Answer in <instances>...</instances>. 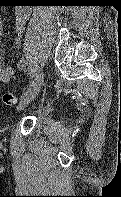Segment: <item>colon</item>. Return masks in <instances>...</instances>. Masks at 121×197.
<instances>
[{"label":"colon","mask_w":121,"mask_h":197,"mask_svg":"<svg viewBox=\"0 0 121 197\" xmlns=\"http://www.w3.org/2000/svg\"><path fill=\"white\" fill-rule=\"evenodd\" d=\"M2 101L5 105L12 106V105L16 104L17 98L13 93L5 92L2 95Z\"/></svg>","instance_id":"5ec220e1"}]
</instances>
